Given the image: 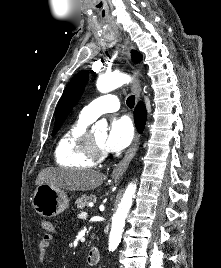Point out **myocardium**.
I'll list each match as a JSON object with an SVG mask.
<instances>
[{
    "label": "myocardium",
    "instance_id": "1",
    "mask_svg": "<svg viewBox=\"0 0 221 268\" xmlns=\"http://www.w3.org/2000/svg\"><path fill=\"white\" fill-rule=\"evenodd\" d=\"M83 147L88 157L94 161H102L107 155L105 150L96 144L89 131L84 135Z\"/></svg>",
    "mask_w": 221,
    "mask_h": 268
}]
</instances>
